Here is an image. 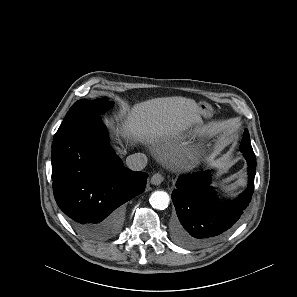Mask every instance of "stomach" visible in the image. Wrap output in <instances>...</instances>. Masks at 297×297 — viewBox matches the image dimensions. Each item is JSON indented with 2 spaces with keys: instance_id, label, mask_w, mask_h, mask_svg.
Wrapping results in <instances>:
<instances>
[{
  "instance_id": "stomach-1",
  "label": "stomach",
  "mask_w": 297,
  "mask_h": 297,
  "mask_svg": "<svg viewBox=\"0 0 297 297\" xmlns=\"http://www.w3.org/2000/svg\"><path fill=\"white\" fill-rule=\"evenodd\" d=\"M198 110L200 114H202L204 117H210L213 113V109L210 104L207 102H199L197 103Z\"/></svg>"
}]
</instances>
